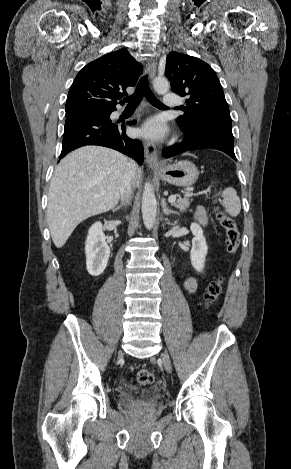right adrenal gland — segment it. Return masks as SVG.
Returning a JSON list of instances; mask_svg holds the SVG:
<instances>
[{"label":"right adrenal gland","instance_id":"1","mask_svg":"<svg viewBox=\"0 0 291 469\" xmlns=\"http://www.w3.org/2000/svg\"><path fill=\"white\" fill-rule=\"evenodd\" d=\"M121 208H122L121 206H117L116 208L113 209V211L115 212V211H117V210H119V209H121Z\"/></svg>","mask_w":291,"mask_h":469}]
</instances>
